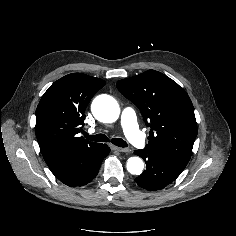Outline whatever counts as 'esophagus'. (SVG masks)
Segmentation results:
<instances>
[{"label": "esophagus", "mask_w": 236, "mask_h": 236, "mask_svg": "<svg viewBox=\"0 0 236 236\" xmlns=\"http://www.w3.org/2000/svg\"><path fill=\"white\" fill-rule=\"evenodd\" d=\"M112 149L115 150V151H118V152H129V149L128 148H121V147H117V146H112Z\"/></svg>", "instance_id": "obj_1"}]
</instances>
